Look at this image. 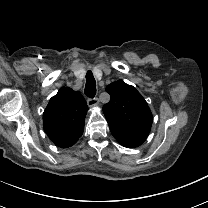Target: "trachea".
<instances>
[{"instance_id":"trachea-1","label":"trachea","mask_w":208,"mask_h":208,"mask_svg":"<svg viewBox=\"0 0 208 208\" xmlns=\"http://www.w3.org/2000/svg\"><path fill=\"white\" fill-rule=\"evenodd\" d=\"M84 92L88 98H94L96 95V83L91 71H88L86 74V86Z\"/></svg>"}]
</instances>
